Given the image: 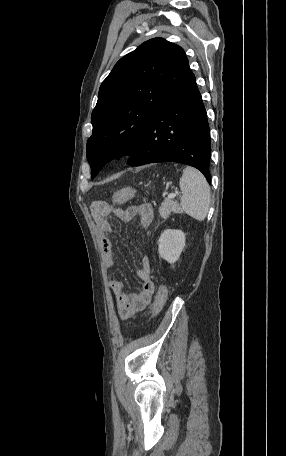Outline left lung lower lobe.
<instances>
[{
  "label": "left lung lower lobe",
  "instance_id": "1",
  "mask_svg": "<svg viewBox=\"0 0 286 456\" xmlns=\"http://www.w3.org/2000/svg\"><path fill=\"white\" fill-rule=\"evenodd\" d=\"M128 164L178 162L200 170L211 183V145L206 110L191 70L155 114Z\"/></svg>",
  "mask_w": 286,
  "mask_h": 456
}]
</instances>
